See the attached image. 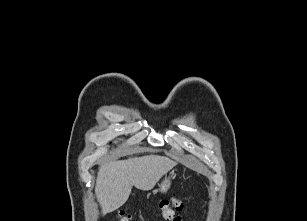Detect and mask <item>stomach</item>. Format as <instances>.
I'll list each match as a JSON object with an SVG mask.
<instances>
[{
  "label": "stomach",
  "instance_id": "stomach-1",
  "mask_svg": "<svg viewBox=\"0 0 307 221\" xmlns=\"http://www.w3.org/2000/svg\"><path fill=\"white\" fill-rule=\"evenodd\" d=\"M174 178L175 176L173 173H171L169 176H165L160 182V184H158V188L156 189V191L160 193H166L170 189L172 180Z\"/></svg>",
  "mask_w": 307,
  "mask_h": 221
}]
</instances>
